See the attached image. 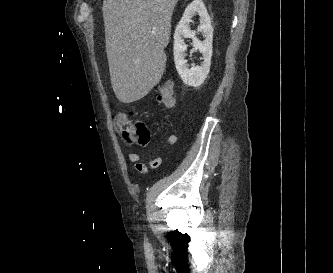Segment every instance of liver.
Returning a JSON list of instances; mask_svg holds the SVG:
<instances>
[{"mask_svg":"<svg viewBox=\"0 0 333 273\" xmlns=\"http://www.w3.org/2000/svg\"><path fill=\"white\" fill-rule=\"evenodd\" d=\"M178 0H104L106 53L120 102L146 96L165 71L171 17Z\"/></svg>","mask_w":333,"mask_h":273,"instance_id":"6515ba94","label":"liver"}]
</instances>
